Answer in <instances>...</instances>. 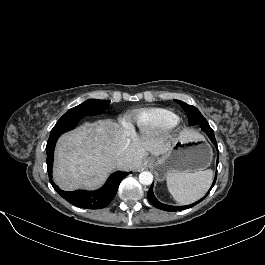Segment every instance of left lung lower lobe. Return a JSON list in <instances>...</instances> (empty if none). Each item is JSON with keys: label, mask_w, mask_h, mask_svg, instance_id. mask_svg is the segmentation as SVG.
<instances>
[{"label": "left lung lower lobe", "mask_w": 265, "mask_h": 265, "mask_svg": "<svg viewBox=\"0 0 265 265\" xmlns=\"http://www.w3.org/2000/svg\"><path fill=\"white\" fill-rule=\"evenodd\" d=\"M201 129L208 135V137L210 138V140L212 141V143L215 145V147L217 148L218 150V147H217V142H216V139H215V136H214V131L212 130V128L209 126L208 122H205V123H202V124H199ZM217 163H218V160H217ZM216 178H217V174L215 176V179L212 183V186L210 188V190L212 189V187L214 186L215 184V181H216ZM210 190L208 191V193L205 195V197L209 194ZM148 199L149 201L157 208L161 209V210H165V211H170V212H174V211H180V210H184V209H187V208H190V207H193L195 204H198L199 202L202 201L199 200L197 201L196 203L194 204H191V205H187V206H170V205H166V204H163V203H160L154 196L153 194V185L150 187L149 191H148ZM203 197V199L205 198Z\"/></svg>", "instance_id": "0a47b994"}]
</instances>
